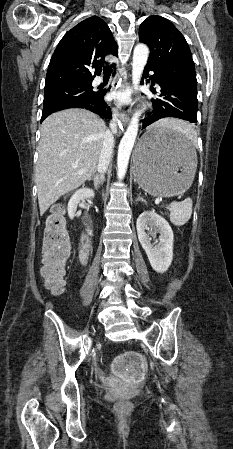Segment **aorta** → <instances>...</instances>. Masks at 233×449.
<instances>
[{
	"label": "aorta",
	"instance_id": "obj_1",
	"mask_svg": "<svg viewBox=\"0 0 233 449\" xmlns=\"http://www.w3.org/2000/svg\"><path fill=\"white\" fill-rule=\"evenodd\" d=\"M149 56V49L144 44H137L134 48L132 63V82L137 89L141 80L144 67ZM139 128V114L137 113L130 121L124 136L122 137L117 156V176L121 180L125 177L128 161L134 142L136 140Z\"/></svg>",
	"mask_w": 233,
	"mask_h": 449
}]
</instances>
